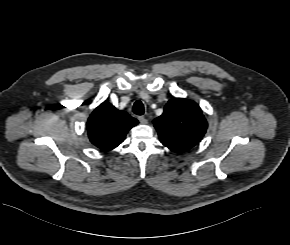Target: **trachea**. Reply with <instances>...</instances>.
<instances>
[{"label": "trachea", "instance_id": "1", "mask_svg": "<svg viewBox=\"0 0 290 245\" xmlns=\"http://www.w3.org/2000/svg\"><path fill=\"white\" fill-rule=\"evenodd\" d=\"M133 112L136 115H143L144 114V105L141 101H136L133 106Z\"/></svg>", "mask_w": 290, "mask_h": 245}]
</instances>
